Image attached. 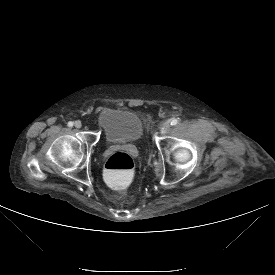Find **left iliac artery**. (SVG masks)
Returning a JSON list of instances; mask_svg holds the SVG:
<instances>
[{
    "instance_id": "1",
    "label": "left iliac artery",
    "mask_w": 275,
    "mask_h": 275,
    "mask_svg": "<svg viewBox=\"0 0 275 275\" xmlns=\"http://www.w3.org/2000/svg\"><path fill=\"white\" fill-rule=\"evenodd\" d=\"M177 123H178V120H177V119H172V120H170V124H171L172 126L176 125Z\"/></svg>"
}]
</instances>
